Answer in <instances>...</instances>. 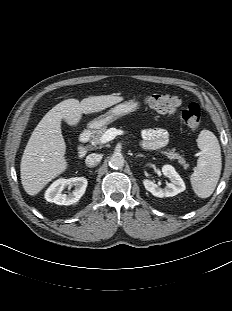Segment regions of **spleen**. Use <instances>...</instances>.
<instances>
[{"label":"spleen","instance_id":"1","mask_svg":"<svg viewBox=\"0 0 232 311\" xmlns=\"http://www.w3.org/2000/svg\"><path fill=\"white\" fill-rule=\"evenodd\" d=\"M197 144L201 154L190 181L196 195L207 198L214 192L220 178L221 149L217 137L209 130L200 132Z\"/></svg>","mask_w":232,"mask_h":311}]
</instances>
